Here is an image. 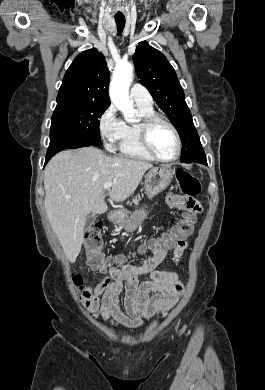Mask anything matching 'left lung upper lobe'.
I'll list each match as a JSON object with an SVG mask.
<instances>
[{"label":"left lung upper lobe","instance_id":"5c2ea615","mask_svg":"<svg viewBox=\"0 0 265 390\" xmlns=\"http://www.w3.org/2000/svg\"><path fill=\"white\" fill-rule=\"evenodd\" d=\"M133 61L140 83L178 131L182 140L181 162H192L204 150L174 68L160 51L145 41L138 44Z\"/></svg>","mask_w":265,"mask_h":390}]
</instances>
